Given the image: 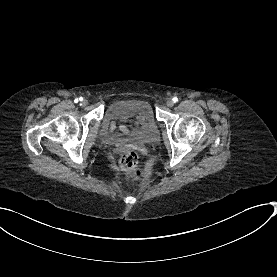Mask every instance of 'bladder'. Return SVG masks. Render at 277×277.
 I'll list each match as a JSON object with an SVG mask.
<instances>
[{
  "label": "bladder",
  "mask_w": 277,
  "mask_h": 277,
  "mask_svg": "<svg viewBox=\"0 0 277 277\" xmlns=\"http://www.w3.org/2000/svg\"><path fill=\"white\" fill-rule=\"evenodd\" d=\"M138 119L140 127L132 128L126 134L112 131L120 140L149 143L158 132V123L155 120L151 103L147 99L122 97L113 100L104 113L103 122L111 128L115 124L120 125Z\"/></svg>",
  "instance_id": "1"
}]
</instances>
